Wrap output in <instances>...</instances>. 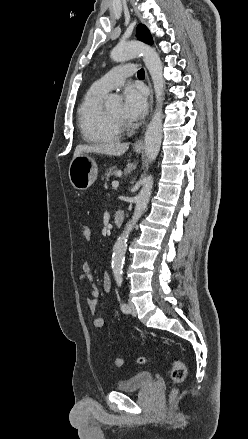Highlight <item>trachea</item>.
I'll list each match as a JSON object with an SVG mask.
<instances>
[{
  "label": "trachea",
  "instance_id": "trachea-1",
  "mask_svg": "<svg viewBox=\"0 0 248 439\" xmlns=\"http://www.w3.org/2000/svg\"><path fill=\"white\" fill-rule=\"evenodd\" d=\"M137 76H138V77H145L144 69H140V70L138 71V73H137Z\"/></svg>",
  "mask_w": 248,
  "mask_h": 439
}]
</instances>
